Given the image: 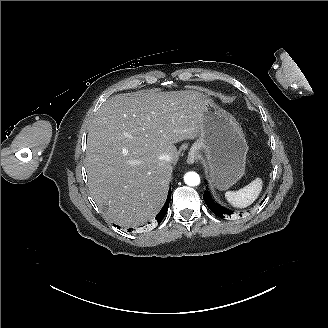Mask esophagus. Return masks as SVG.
I'll use <instances>...</instances> for the list:
<instances>
[{"mask_svg":"<svg viewBox=\"0 0 328 328\" xmlns=\"http://www.w3.org/2000/svg\"><path fill=\"white\" fill-rule=\"evenodd\" d=\"M198 157L195 152H190L187 157V163L193 164L195 161H197Z\"/></svg>","mask_w":328,"mask_h":328,"instance_id":"34e87169","label":"esophagus"}]
</instances>
